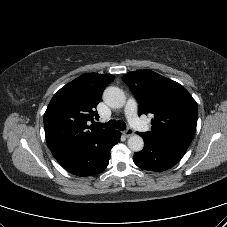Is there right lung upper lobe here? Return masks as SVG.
<instances>
[{"label":"right lung upper lobe","instance_id":"1","mask_svg":"<svg viewBox=\"0 0 227 227\" xmlns=\"http://www.w3.org/2000/svg\"><path fill=\"white\" fill-rule=\"evenodd\" d=\"M114 78L108 74H83L53 96L44 114L46 141L52 153L110 131L88 126V122L99 118L95 108Z\"/></svg>","mask_w":227,"mask_h":227}]
</instances>
